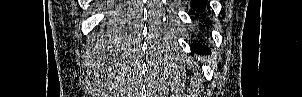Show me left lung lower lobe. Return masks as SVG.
<instances>
[{
	"instance_id": "left-lung-lower-lobe-1",
	"label": "left lung lower lobe",
	"mask_w": 302,
	"mask_h": 97,
	"mask_svg": "<svg viewBox=\"0 0 302 97\" xmlns=\"http://www.w3.org/2000/svg\"><path fill=\"white\" fill-rule=\"evenodd\" d=\"M207 0H192L191 7L199 12L204 11ZM192 50L197 53H205L208 54L210 51L206 46L200 44H192Z\"/></svg>"
}]
</instances>
